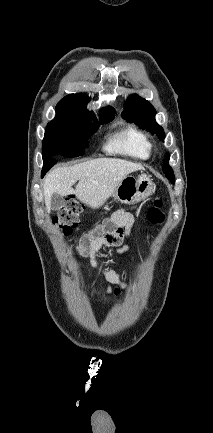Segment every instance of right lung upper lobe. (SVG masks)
Masks as SVG:
<instances>
[{
	"instance_id": "1",
	"label": "right lung upper lobe",
	"mask_w": 213,
	"mask_h": 433,
	"mask_svg": "<svg viewBox=\"0 0 213 433\" xmlns=\"http://www.w3.org/2000/svg\"><path fill=\"white\" fill-rule=\"evenodd\" d=\"M89 98L84 94H70L65 96L56 106V109L72 112L88 119H94L93 112L87 110ZM101 120H112L115 116V110L107 107L101 110Z\"/></svg>"
}]
</instances>
